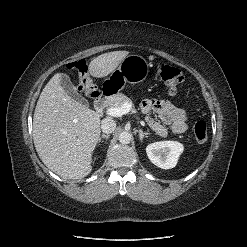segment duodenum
I'll return each mask as SVG.
<instances>
[{"instance_id":"duodenum-1","label":"duodenum","mask_w":247,"mask_h":247,"mask_svg":"<svg viewBox=\"0 0 247 247\" xmlns=\"http://www.w3.org/2000/svg\"><path fill=\"white\" fill-rule=\"evenodd\" d=\"M109 93L108 92H103L100 95H98L94 101V107L97 112H101L108 100Z\"/></svg>"}]
</instances>
